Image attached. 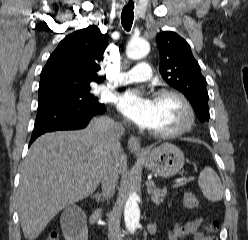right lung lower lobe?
Here are the masks:
<instances>
[{
  "label": "right lung lower lobe",
  "mask_w": 248,
  "mask_h": 240,
  "mask_svg": "<svg viewBox=\"0 0 248 240\" xmlns=\"http://www.w3.org/2000/svg\"><path fill=\"white\" fill-rule=\"evenodd\" d=\"M105 105L78 107L67 104L38 105L37 117L29 145L40 135L57 130L82 129L93 116L103 114Z\"/></svg>",
  "instance_id": "1"
}]
</instances>
